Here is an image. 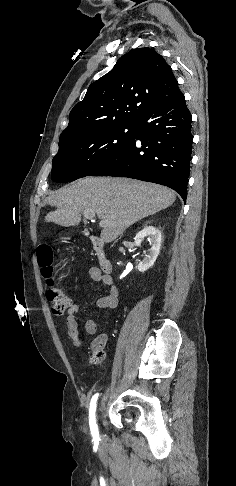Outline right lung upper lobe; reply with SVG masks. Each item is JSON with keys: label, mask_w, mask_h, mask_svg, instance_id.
Returning <instances> with one entry per match:
<instances>
[{"label": "right lung upper lobe", "mask_w": 236, "mask_h": 486, "mask_svg": "<svg viewBox=\"0 0 236 486\" xmlns=\"http://www.w3.org/2000/svg\"><path fill=\"white\" fill-rule=\"evenodd\" d=\"M182 96L165 59L152 48H136L89 86L84 99L71 110L59 143L91 131L133 124L149 108Z\"/></svg>", "instance_id": "cb5924a9"}]
</instances>
